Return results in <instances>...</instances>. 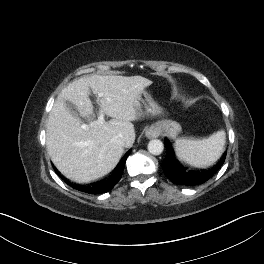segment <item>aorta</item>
Masks as SVG:
<instances>
[{"mask_svg":"<svg viewBox=\"0 0 264 264\" xmlns=\"http://www.w3.org/2000/svg\"><path fill=\"white\" fill-rule=\"evenodd\" d=\"M164 150V145L159 139H153L148 143V151L153 155H160Z\"/></svg>","mask_w":264,"mask_h":264,"instance_id":"aorta-1","label":"aorta"}]
</instances>
